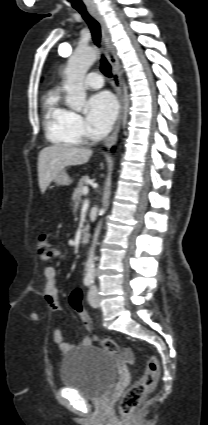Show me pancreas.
Here are the masks:
<instances>
[{
    "label": "pancreas",
    "instance_id": "1",
    "mask_svg": "<svg viewBox=\"0 0 208 425\" xmlns=\"http://www.w3.org/2000/svg\"><path fill=\"white\" fill-rule=\"evenodd\" d=\"M87 180H88V177L87 176H83L80 179V181H79V183L77 185V188L74 191L72 200H73V204H74L75 210L77 209V207L79 205V202H80L81 197H82V194H83L82 190H83L84 187H86Z\"/></svg>",
    "mask_w": 208,
    "mask_h": 425
}]
</instances>
